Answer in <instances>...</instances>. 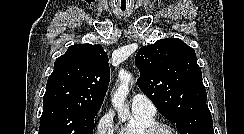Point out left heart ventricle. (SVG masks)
Listing matches in <instances>:
<instances>
[{"mask_svg":"<svg viewBox=\"0 0 244 134\" xmlns=\"http://www.w3.org/2000/svg\"><path fill=\"white\" fill-rule=\"evenodd\" d=\"M157 134H171V133L169 131H167V130L162 129V130H159L157 132Z\"/></svg>","mask_w":244,"mask_h":134,"instance_id":"1","label":"left heart ventricle"}]
</instances>
